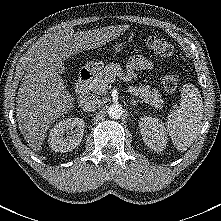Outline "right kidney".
<instances>
[{
	"label": "right kidney",
	"mask_w": 221,
	"mask_h": 221,
	"mask_svg": "<svg viewBox=\"0 0 221 221\" xmlns=\"http://www.w3.org/2000/svg\"><path fill=\"white\" fill-rule=\"evenodd\" d=\"M84 129L85 123L81 118H67L58 122L49 133L48 141L51 149L55 152L75 149L82 141Z\"/></svg>",
	"instance_id": "right-kidney-1"
}]
</instances>
